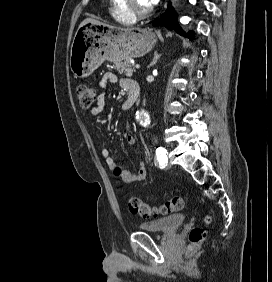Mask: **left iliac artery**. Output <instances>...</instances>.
<instances>
[{
    "label": "left iliac artery",
    "mask_w": 272,
    "mask_h": 282,
    "mask_svg": "<svg viewBox=\"0 0 272 282\" xmlns=\"http://www.w3.org/2000/svg\"><path fill=\"white\" fill-rule=\"evenodd\" d=\"M166 153L167 150L164 149L163 147H159L156 149L157 161L162 168H164L167 163Z\"/></svg>",
    "instance_id": "44dca946"
}]
</instances>
